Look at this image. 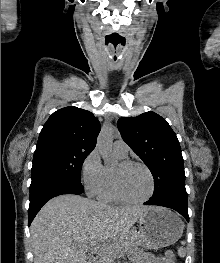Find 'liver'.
I'll return each mask as SVG.
<instances>
[{
  "label": "liver",
  "mask_w": 220,
  "mask_h": 263,
  "mask_svg": "<svg viewBox=\"0 0 220 263\" xmlns=\"http://www.w3.org/2000/svg\"><path fill=\"white\" fill-rule=\"evenodd\" d=\"M151 208L115 207L73 194L57 196L41 208L31 224L34 263H89L86 246L91 242L103 258Z\"/></svg>",
  "instance_id": "6515ba94"
}]
</instances>
